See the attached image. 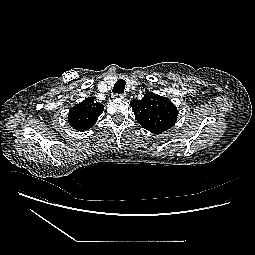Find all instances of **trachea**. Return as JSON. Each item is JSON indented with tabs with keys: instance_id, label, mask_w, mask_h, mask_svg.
Listing matches in <instances>:
<instances>
[{
	"instance_id": "1",
	"label": "trachea",
	"mask_w": 255,
	"mask_h": 255,
	"mask_svg": "<svg viewBox=\"0 0 255 255\" xmlns=\"http://www.w3.org/2000/svg\"><path fill=\"white\" fill-rule=\"evenodd\" d=\"M125 85H126L125 80L119 79L113 87V92L117 94H122L124 92Z\"/></svg>"
}]
</instances>
